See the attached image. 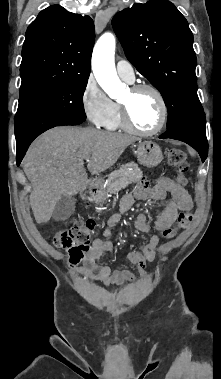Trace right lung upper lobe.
Returning a JSON list of instances; mask_svg holds the SVG:
<instances>
[{
  "label": "right lung upper lobe",
  "instance_id": "1",
  "mask_svg": "<svg viewBox=\"0 0 221 379\" xmlns=\"http://www.w3.org/2000/svg\"><path fill=\"white\" fill-rule=\"evenodd\" d=\"M94 40L89 16L68 12L60 5L44 9L26 31L20 89L89 77Z\"/></svg>",
  "mask_w": 221,
  "mask_h": 379
}]
</instances>
